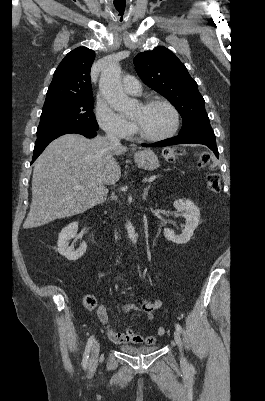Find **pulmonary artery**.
Wrapping results in <instances>:
<instances>
[{
    "label": "pulmonary artery",
    "instance_id": "e3ab8cb5",
    "mask_svg": "<svg viewBox=\"0 0 265 401\" xmlns=\"http://www.w3.org/2000/svg\"><path fill=\"white\" fill-rule=\"evenodd\" d=\"M123 88L128 93H140L139 83L136 81L135 75H126L125 81H123Z\"/></svg>",
    "mask_w": 265,
    "mask_h": 401
}]
</instances>
